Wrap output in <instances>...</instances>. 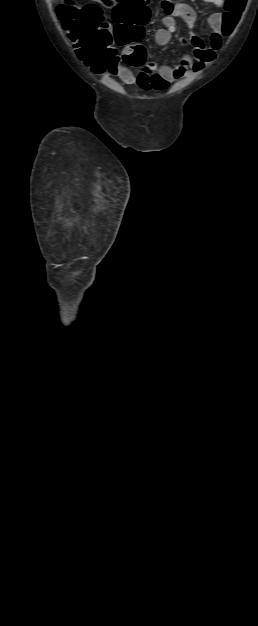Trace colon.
<instances>
[{
  "instance_id": "1",
  "label": "colon",
  "mask_w": 258,
  "mask_h": 626,
  "mask_svg": "<svg viewBox=\"0 0 258 626\" xmlns=\"http://www.w3.org/2000/svg\"><path fill=\"white\" fill-rule=\"evenodd\" d=\"M106 8L115 9L116 26L110 30L97 4L77 6L73 0H64L57 7V15L80 60L96 73H101L118 58L117 46H125L122 59L130 65L145 61V48L138 44L144 34V25L150 11L148 0H99ZM246 0H225L222 32L229 35L236 26Z\"/></svg>"
}]
</instances>
